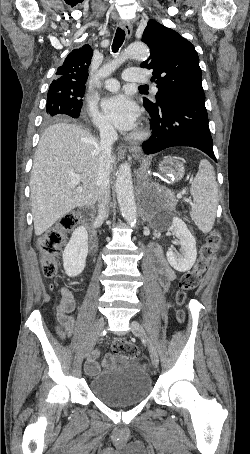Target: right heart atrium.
Masks as SVG:
<instances>
[{"mask_svg": "<svg viewBox=\"0 0 250 454\" xmlns=\"http://www.w3.org/2000/svg\"><path fill=\"white\" fill-rule=\"evenodd\" d=\"M87 115L92 120L93 124L102 132L111 131V125L108 120L98 112V110L91 104L87 106Z\"/></svg>", "mask_w": 250, "mask_h": 454, "instance_id": "1", "label": "right heart atrium"}]
</instances>
